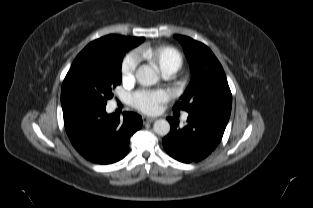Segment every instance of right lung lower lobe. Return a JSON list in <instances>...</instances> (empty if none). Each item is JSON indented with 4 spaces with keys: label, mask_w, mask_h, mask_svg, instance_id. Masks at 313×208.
I'll list each match as a JSON object with an SVG mask.
<instances>
[{
    "label": "right lung lower lobe",
    "mask_w": 313,
    "mask_h": 208,
    "mask_svg": "<svg viewBox=\"0 0 313 208\" xmlns=\"http://www.w3.org/2000/svg\"><path fill=\"white\" fill-rule=\"evenodd\" d=\"M64 124L75 149L87 160L110 164L129 151L130 137L141 128L142 118L124 112L123 120L107 114L103 104L79 96L61 97Z\"/></svg>",
    "instance_id": "1"
}]
</instances>
